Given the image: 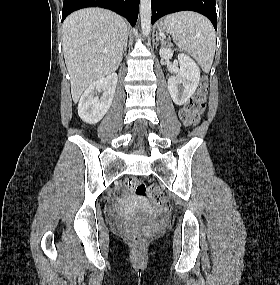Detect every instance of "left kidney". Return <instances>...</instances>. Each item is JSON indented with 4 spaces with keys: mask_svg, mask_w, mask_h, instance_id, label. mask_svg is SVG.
I'll return each mask as SVG.
<instances>
[{
    "mask_svg": "<svg viewBox=\"0 0 280 285\" xmlns=\"http://www.w3.org/2000/svg\"><path fill=\"white\" fill-rule=\"evenodd\" d=\"M160 56L164 59H169L173 56L170 49L162 47ZM180 65L179 72L175 76L168 79L169 93L177 105H183L196 91L199 80L200 70L197 64L186 54L178 56ZM182 84V87L180 86Z\"/></svg>",
    "mask_w": 280,
    "mask_h": 285,
    "instance_id": "obj_1",
    "label": "left kidney"
}]
</instances>
